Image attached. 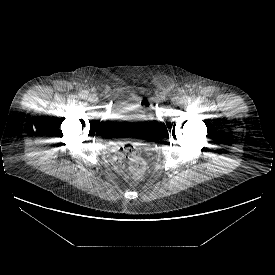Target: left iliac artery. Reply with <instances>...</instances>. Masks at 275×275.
<instances>
[{"mask_svg":"<svg viewBox=\"0 0 275 275\" xmlns=\"http://www.w3.org/2000/svg\"><path fill=\"white\" fill-rule=\"evenodd\" d=\"M183 102L184 103H190L191 102V98L189 96H183Z\"/></svg>","mask_w":275,"mask_h":275,"instance_id":"1","label":"left iliac artery"}]
</instances>
